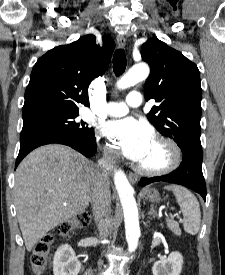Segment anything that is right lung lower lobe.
Listing matches in <instances>:
<instances>
[{
  "mask_svg": "<svg viewBox=\"0 0 225 275\" xmlns=\"http://www.w3.org/2000/svg\"><path fill=\"white\" fill-rule=\"evenodd\" d=\"M50 143L68 145L86 157H92L97 150L95 137L80 138L67 132L48 127L23 128L20 135V151L15 167L33 149Z\"/></svg>",
  "mask_w": 225,
  "mask_h": 275,
  "instance_id": "98d812e1",
  "label": "right lung lower lobe"
}]
</instances>
